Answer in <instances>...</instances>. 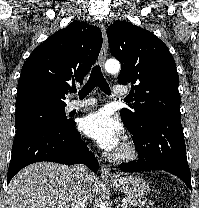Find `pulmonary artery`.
Segmentation results:
<instances>
[{"mask_svg":"<svg viewBox=\"0 0 199 208\" xmlns=\"http://www.w3.org/2000/svg\"><path fill=\"white\" fill-rule=\"evenodd\" d=\"M128 94V90L122 87H115L113 89V96L116 98H124ZM97 104V100L93 98H85L83 100H72L68 105V110H76L92 107Z\"/></svg>","mask_w":199,"mask_h":208,"instance_id":"1","label":"pulmonary artery"}]
</instances>
